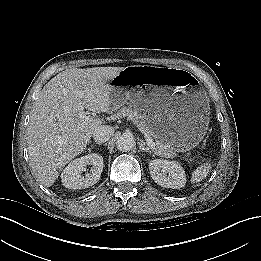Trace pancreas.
<instances>
[{"instance_id": "cf45deb5", "label": "pancreas", "mask_w": 261, "mask_h": 261, "mask_svg": "<svg viewBox=\"0 0 261 261\" xmlns=\"http://www.w3.org/2000/svg\"><path fill=\"white\" fill-rule=\"evenodd\" d=\"M116 118L130 117L134 124L143 132L147 133L152 139L155 140L156 149L159 155L167 158H173L176 156V150L168 143H164L155 138L154 133L147 124V121L142 117L141 112L138 109L128 107H122L115 114Z\"/></svg>"}]
</instances>
